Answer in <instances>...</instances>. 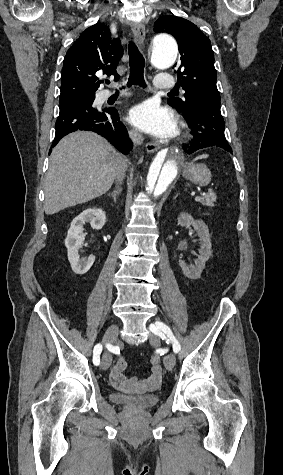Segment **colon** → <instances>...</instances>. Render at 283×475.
<instances>
[{"mask_svg": "<svg viewBox=\"0 0 283 475\" xmlns=\"http://www.w3.org/2000/svg\"><path fill=\"white\" fill-rule=\"evenodd\" d=\"M160 363V358L157 355H154L150 358V365L152 367H157Z\"/></svg>", "mask_w": 283, "mask_h": 475, "instance_id": "colon-1", "label": "colon"}]
</instances>
